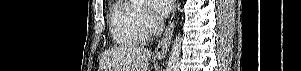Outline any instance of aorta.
Here are the masks:
<instances>
[{"label":"aorta","mask_w":301,"mask_h":71,"mask_svg":"<svg viewBox=\"0 0 301 71\" xmlns=\"http://www.w3.org/2000/svg\"><path fill=\"white\" fill-rule=\"evenodd\" d=\"M134 7H143L147 4V0H131ZM181 35L176 36L172 50L170 52L167 71H179L180 68V53H181Z\"/></svg>","instance_id":"762f6f07"}]
</instances>
